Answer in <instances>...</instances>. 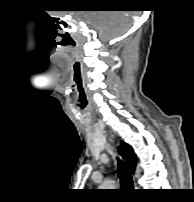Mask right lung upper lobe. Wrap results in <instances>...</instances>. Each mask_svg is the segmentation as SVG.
Returning <instances> with one entry per match:
<instances>
[{"mask_svg": "<svg viewBox=\"0 0 194 202\" xmlns=\"http://www.w3.org/2000/svg\"><path fill=\"white\" fill-rule=\"evenodd\" d=\"M119 153L127 161V163L129 164L130 173L133 174L136 167L137 157L134 154L132 147L122 142L119 147Z\"/></svg>", "mask_w": 194, "mask_h": 202, "instance_id": "cb5924a9", "label": "right lung upper lobe"}]
</instances>
